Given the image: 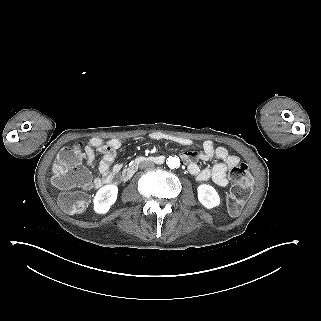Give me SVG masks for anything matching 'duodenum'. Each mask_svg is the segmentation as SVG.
<instances>
[{
	"label": "duodenum",
	"instance_id": "obj_1",
	"mask_svg": "<svg viewBox=\"0 0 321 321\" xmlns=\"http://www.w3.org/2000/svg\"><path fill=\"white\" fill-rule=\"evenodd\" d=\"M163 156H139L134 159L122 172V179L129 180L143 162H151L155 164H162L164 162Z\"/></svg>",
	"mask_w": 321,
	"mask_h": 321
}]
</instances>
